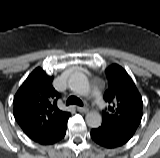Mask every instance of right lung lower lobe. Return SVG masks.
<instances>
[{"label":"right lung lower lobe","mask_w":160,"mask_h":158,"mask_svg":"<svg viewBox=\"0 0 160 158\" xmlns=\"http://www.w3.org/2000/svg\"><path fill=\"white\" fill-rule=\"evenodd\" d=\"M67 122L57 132L37 141L41 145H51L60 141L66 134Z\"/></svg>","instance_id":"right-lung-lower-lobe-1"}]
</instances>
